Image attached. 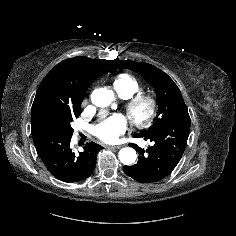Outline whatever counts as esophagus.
Returning a JSON list of instances; mask_svg holds the SVG:
<instances>
[{"label": "esophagus", "mask_w": 236, "mask_h": 236, "mask_svg": "<svg viewBox=\"0 0 236 236\" xmlns=\"http://www.w3.org/2000/svg\"><path fill=\"white\" fill-rule=\"evenodd\" d=\"M107 148H110V149H120L121 148V145H109V146H106Z\"/></svg>", "instance_id": "obj_1"}]
</instances>
